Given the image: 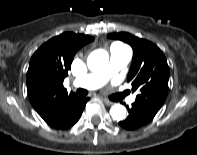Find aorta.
Wrapping results in <instances>:
<instances>
[{
  "label": "aorta",
  "mask_w": 197,
  "mask_h": 155,
  "mask_svg": "<svg viewBox=\"0 0 197 155\" xmlns=\"http://www.w3.org/2000/svg\"><path fill=\"white\" fill-rule=\"evenodd\" d=\"M108 61L107 51L98 49L88 56L87 66L91 71H101L107 66ZM110 115L116 121L123 120L126 117V108L121 104H114L110 109Z\"/></svg>",
  "instance_id": "obj_1"
}]
</instances>
